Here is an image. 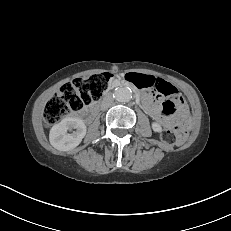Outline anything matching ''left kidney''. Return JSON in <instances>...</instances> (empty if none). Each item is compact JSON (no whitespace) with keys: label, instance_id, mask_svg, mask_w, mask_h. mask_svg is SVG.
Wrapping results in <instances>:
<instances>
[{"label":"left kidney","instance_id":"1","mask_svg":"<svg viewBox=\"0 0 231 231\" xmlns=\"http://www.w3.org/2000/svg\"><path fill=\"white\" fill-rule=\"evenodd\" d=\"M152 129L155 132H161L162 131L161 125L159 123H157V122L152 123Z\"/></svg>","mask_w":231,"mask_h":231}]
</instances>
